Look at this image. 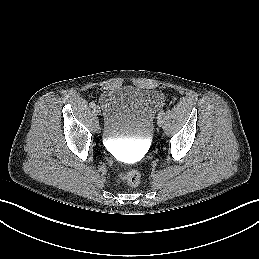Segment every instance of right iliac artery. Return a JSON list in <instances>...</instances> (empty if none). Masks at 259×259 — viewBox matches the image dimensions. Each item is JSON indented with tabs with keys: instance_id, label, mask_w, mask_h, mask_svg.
I'll return each instance as SVG.
<instances>
[{
	"instance_id": "obj_1",
	"label": "right iliac artery",
	"mask_w": 259,
	"mask_h": 259,
	"mask_svg": "<svg viewBox=\"0 0 259 259\" xmlns=\"http://www.w3.org/2000/svg\"><path fill=\"white\" fill-rule=\"evenodd\" d=\"M90 107L94 108V107H95V103H94V102H91V103H90Z\"/></svg>"
}]
</instances>
